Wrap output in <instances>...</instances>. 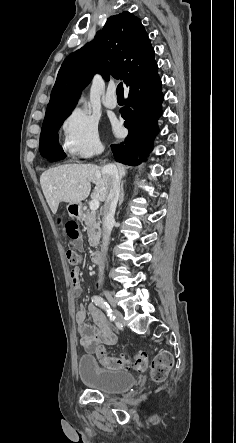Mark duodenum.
<instances>
[{"mask_svg":"<svg viewBox=\"0 0 236 443\" xmlns=\"http://www.w3.org/2000/svg\"><path fill=\"white\" fill-rule=\"evenodd\" d=\"M75 215H77V216H81L82 215V207L80 205L76 206V208H75ZM90 259H91L92 263L95 264V265L102 264L101 257L99 255V253H97V252L91 253Z\"/></svg>","mask_w":236,"mask_h":443,"instance_id":"obj_1","label":"duodenum"}]
</instances>
